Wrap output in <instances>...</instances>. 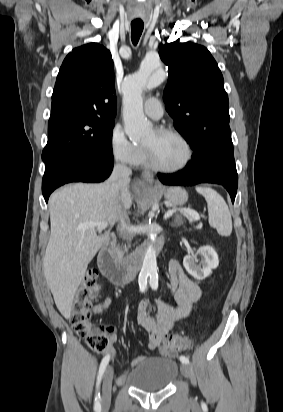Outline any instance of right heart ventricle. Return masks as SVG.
<instances>
[{
    "instance_id": "e07e8e85",
    "label": "right heart ventricle",
    "mask_w": 283,
    "mask_h": 412,
    "mask_svg": "<svg viewBox=\"0 0 283 412\" xmlns=\"http://www.w3.org/2000/svg\"><path fill=\"white\" fill-rule=\"evenodd\" d=\"M136 165H141L144 166L146 165V160H145V155H144V151L143 148L140 147V152H139V156L137 158V161L135 162Z\"/></svg>"
}]
</instances>
